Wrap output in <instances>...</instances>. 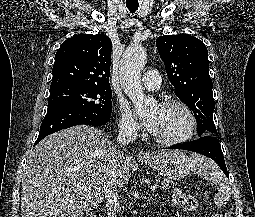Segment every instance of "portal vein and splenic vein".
Here are the masks:
<instances>
[{
  "label": "portal vein and splenic vein",
  "instance_id": "obj_1",
  "mask_svg": "<svg viewBox=\"0 0 255 217\" xmlns=\"http://www.w3.org/2000/svg\"><path fill=\"white\" fill-rule=\"evenodd\" d=\"M156 189V185H153V186H151V190H155Z\"/></svg>",
  "mask_w": 255,
  "mask_h": 217
}]
</instances>
